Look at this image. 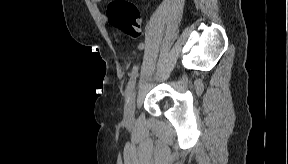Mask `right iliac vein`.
Returning <instances> with one entry per match:
<instances>
[{"label": "right iliac vein", "instance_id": "63e3f726", "mask_svg": "<svg viewBox=\"0 0 288 164\" xmlns=\"http://www.w3.org/2000/svg\"><path fill=\"white\" fill-rule=\"evenodd\" d=\"M135 97H136V93L135 91H133L130 95L128 102L125 105L124 119L126 121H131L133 119L134 110H135Z\"/></svg>", "mask_w": 288, "mask_h": 164}]
</instances>
